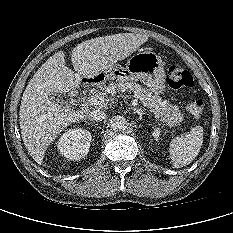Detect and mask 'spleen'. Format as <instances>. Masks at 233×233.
Segmentation results:
<instances>
[{"label": "spleen", "mask_w": 233, "mask_h": 233, "mask_svg": "<svg viewBox=\"0 0 233 233\" xmlns=\"http://www.w3.org/2000/svg\"><path fill=\"white\" fill-rule=\"evenodd\" d=\"M203 143V128L196 126L189 134L175 137L169 144L170 159L174 168L189 165L199 154Z\"/></svg>", "instance_id": "3e777b00"}]
</instances>
